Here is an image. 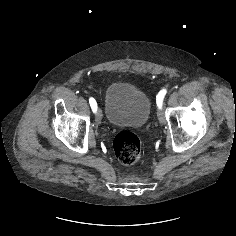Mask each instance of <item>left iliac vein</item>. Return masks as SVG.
<instances>
[{
	"label": "left iliac vein",
	"mask_w": 236,
	"mask_h": 236,
	"mask_svg": "<svg viewBox=\"0 0 236 236\" xmlns=\"http://www.w3.org/2000/svg\"><path fill=\"white\" fill-rule=\"evenodd\" d=\"M157 116L160 123L164 124L166 122L164 113L161 110H158Z\"/></svg>",
	"instance_id": "left-iliac-vein-1"
}]
</instances>
